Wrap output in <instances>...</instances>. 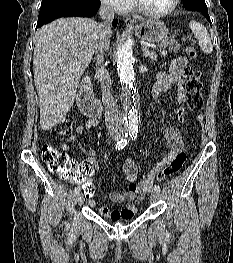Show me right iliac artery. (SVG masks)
<instances>
[{"label": "right iliac artery", "mask_w": 233, "mask_h": 263, "mask_svg": "<svg viewBox=\"0 0 233 263\" xmlns=\"http://www.w3.org/2000/svg\"><path fill=\"white\" fill-rule=\"evenodd\" d=\"M128 143V133H125L124 138H122L120 141H118L115 145L116 150H121L123 149ZM80 192V187H76L74 189V193L78 194Z\"/></svg>", "instance_id": "82829eb1"}]
</instances>
